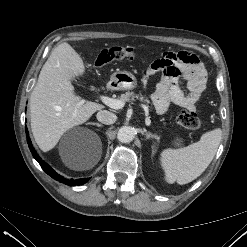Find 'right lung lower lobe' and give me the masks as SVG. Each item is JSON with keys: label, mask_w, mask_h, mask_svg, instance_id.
<instances>
[{"label": "right lung lower lobe", "mask_w": 247, "mask_h": 247, "mask_svg": "<svg viewBox=\"0 0 247 247\" xmlns=\"http://www.w3.org/2000/svg\"><path fill=\"white\" fill-rule=\"evenodd\" d=\"M26 137H27V142H28V146L30 148V151L33 155V157L38 161V163L41 165L42 169L48 174L50 175L53 179L61 182V183H65L69 186H75V185H82L84 183H86L89 179L88 178H82V179H67L61 175H59L58 173H56L48 164H46L35 152L32 144H31V140L29 138L28 135V130L26 128Z\"/></svg>", "instance_id": "1"}]
</instances>
